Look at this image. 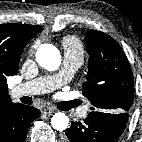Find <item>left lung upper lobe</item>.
Listing matches in <instances>:
<instances>
[{
  "label": "left lung upper lobe",
  "mask_w": 142,
  "mask_h": 142,
  "mask_svg": "<svg viewBox=\"0 0 142 142\" xmlns=\"http://www.w3.org/2000/svg\"><path fill=\"white\" fill-rule=\"evenodd\" d=\"M86 46L89 65L82 94L91 101V111L128 112L134 98V80L124 51L113 38L96 30L86 35Z\"/></svg>",
  "instance_id": "left-lung-upper-lobe-1"
}]
</instances>
